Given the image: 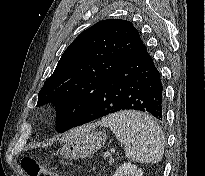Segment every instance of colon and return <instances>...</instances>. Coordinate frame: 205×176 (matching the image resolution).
<instances>
[{
    "label": "colon",
    "instance_id": "obj_1",
    "mask_svg": "<svg viewBox=\"0 0 205 176\" xmlns=\"http://www.w3.org/2000/svg\"><path fill=\"white\" fill-rule=\"evenodd\" d=\"M22 167L28 176H57L30 158L22 161Z\"/></svg>",
    "mask_w": 205,
    "mask_h": 176
}]
</instances>
